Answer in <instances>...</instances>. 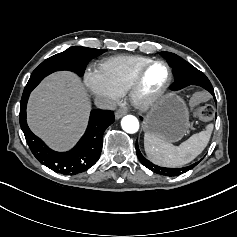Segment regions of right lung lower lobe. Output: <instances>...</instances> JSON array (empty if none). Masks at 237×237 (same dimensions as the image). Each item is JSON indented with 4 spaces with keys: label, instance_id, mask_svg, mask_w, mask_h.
Masks as SVG:
<instances>
[{
    "label": "right lung lower lobe",
    "instance_id": "right-lung-lower-lobe-1",
    "mask_svg": "<svg viewBox=\"0 0 237 237\" xmlns=\"http://www.w3.org/2000/svg\"><path fill=\"white\" fill-rule=\"evenodd\" d=\"M31 89H24L20 102V126L34 156L51 170L64 175H75L88 170L98 160L102 151V138L106 128L114 122L112 111L95 109L90 114L87 130L70 151L51 150L34 135L26 122V106Z\"/></svg>",
    "mask_w": 237,
    "mask_h": 237
}]
</instances>
